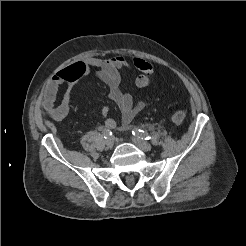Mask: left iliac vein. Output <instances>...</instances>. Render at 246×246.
<instances>
[{"label": "left iliac vein", "mask_w": 246, "mask_h": 246, "mask_svg": "<svg viewBox=\"0 0 246 246\" xmlns=\"http://www.w3.org/2000/svg\"><path fill=\"white\" fill-rule=\"evenodd\" d=\"M132 141L135 143V145L140 148L142 151H151L152 145L146 141H144L142 138L139 137H133Z\"/></svg>", "instance_id": "1"}]
</instances>
